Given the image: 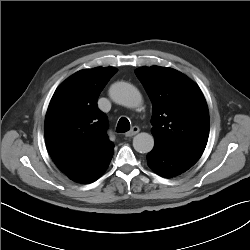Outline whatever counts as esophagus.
Wrapping results in <instances>:
<instances>
[{"instance_id": "1", "label": "esophagus", "mask_w": 250, "mask_h": 250, "mask_svg": "<svg viewBox=\"0 0 250 250\" xmlns=\"http://www.w3.org/2000/svg\"><path fill=\"white\" fill-rule=\"evenodd\" d=\"M140 131L139 127L134 126L130 131L126 132L125 136L126 137H132L136 135Z\"/></svg>"}]
</instances>
